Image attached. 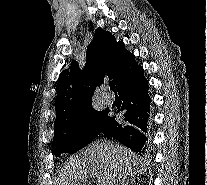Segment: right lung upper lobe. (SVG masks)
<instances>
[{"label":"right lung upper lobe","mask_w":207,"mask_h":185,"mask_svg":"<svg viewBox=\"0 0 207 185\" xmlns=\"http://www.w3.org/2000/svg\"><path fill=\"white\" fill-rule=\"evenodd\" d=\"M143 71L135 56L125 49L123 42L102 28H97L87 47L86 64L82 71L73 60L68 69L61 72L57 83L54 127L94 110L92 95L105 79H112L117 86Z\"/></svg>","instance_id":"obj_1"}]
</instances>
